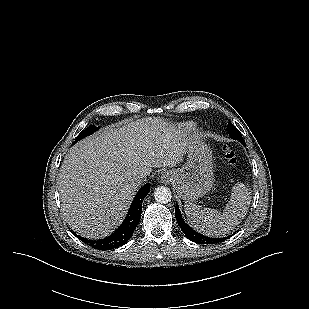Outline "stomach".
Segmentation results:
<instances>
[{
	"label": "stomach",
	"mask_w": 309,
	"mask_h": 309,
	"mask_svg": "<svg viewBox=\"0 0 309 309\" xmlns=\"http://www.w3.org/2000/svg\"><path fill=\"white\" fill-rule=\"evenodd\" d=\"M187 161L181 167L172 169V183L178 196L187 203L193 202L208 193L213 185V163L209 146L198 136L187 144Z\"/></svg>",
	"instance_id": "0dacf381"
}]
</instances>
